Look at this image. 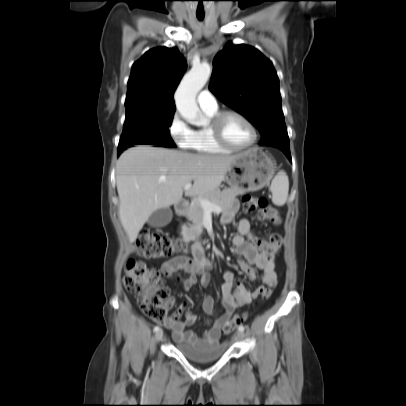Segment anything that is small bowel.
<instances>
[{
  "label": "small bowel",
  "mask_w": 406,
  "mask_h": 406,
  "mask_svg": "<svg viewBox=\"0 0 406 406\" xmlns=\"http://www.w3.org/2000/svg\"><path fill=\"white\" fill-rule=\"evenodd\" d=\"M237 201H231L228 209L223 213L221 223L230 224L237 213ZM235 246V254L242 256L245 261L239 262V267L250 280H259L261 283L253 290H247L242 282H237L236 289L233 290L235 282L234 274L230 271L223 273V284L221 286L222 304L224 313L217 314L215 301L212 297H206L203 302V309L211 317L208 320L209 329L201 336L187 331L186 328L193 325L197 320V315L187 308L186 304H181L171 316H168L164 326L173 331L176 342L190 344L197 347L218 344L222 336V326L234 314L235 310L252 303L259 297L266 287H274L277 282L274 257H267L257 247L258 239L252 231L251 223L247 218H242L237 224V234L232 239ZM210 261L205 257L203 249L199 245L193 247V258L187 256H177L161 267L162 274L167 278L180 281L185 290H190L196 284L197 277L203 275V282H207L210 270ZM186 274L182 278L180 273ZM175 305V300L170 297L166 300V306L171 308ZM184 316V319H182Z\"/></svg>",
  "instance_id": "c3829d8e"
}]
</instances>
